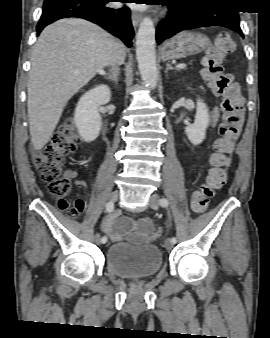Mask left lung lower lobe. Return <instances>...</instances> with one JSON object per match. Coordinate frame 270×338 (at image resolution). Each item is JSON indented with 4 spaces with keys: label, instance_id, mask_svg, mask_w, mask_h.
Wrapping results in <instances>:
<instances>
[{
    "label": "left lung lower lobe",
    "instance_id": "0a47b994",
    "mask_svg": "<svg viewBox=\"0 0 270 338\" xmlns=\"http://www.w3.org/2000/svg\"><path fill=\"white\" fill-rule=\"evenodd\" d=\"M170 3V14L159 23L156 30L158 43L180 31L208 26L226 27L243 36L238 11L225 8L220 2L173 0Z\"/></svg>",
    "mask_w": 270,
    "mask_h": 338
}]
</instances>
